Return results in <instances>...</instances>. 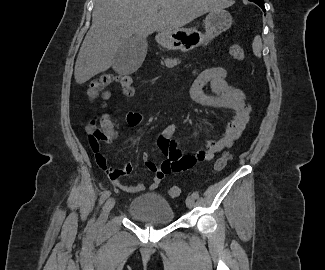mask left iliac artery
<instances>
[{
	"mask_svg": "<svg viewBox=\"0 0 325 270\" xmlns=\"http://www.w3.org/2000/svg\"><path fill=\"white\" fill-rule=\"evenodd\" d=\"M192 197H193L194 199L199 198V193H198V192H193V193H192Z\"/></svg>",
	"mask_w": 325,
	"mask_h": 270,
	"instance_id": "1",
	"label": "left iliac artery"
}]
</instances>
